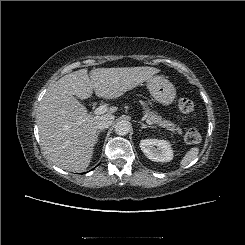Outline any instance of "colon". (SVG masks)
Listing matches in <instances>:
<instances>
[{"label": "colon", "instance_id": "obj_1", "mask_svg": "<svg viewBox=\"0 0 245 245\" xmlns=\"http://www.w3.org/2000/svg\"><path fill=\"white\" fill-rule=\"evenodd\" d=\"M178 107L180 109L181 112L188 114L190 117H195V106L194 103L186 98V97H182L179 99L178 102ZM185 141L189 144H195L198 143L201 139L200 133L198 132V130L192 128L189 129L186 134H185Z\"/></svg>", "mask_w": 245, "mask_h": 245}]
</instances>
